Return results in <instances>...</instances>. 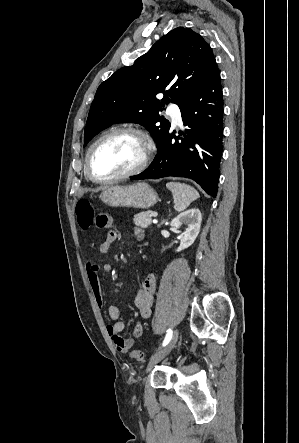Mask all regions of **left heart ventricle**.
<instances>
[{
  "mask_svg": "<svg viewBox=\"0 0 299 443\" xmlns=\"http://www.w3.org/2000/svg\"><path fill=\"white\" fill-rule=\"evenodd\" d=\"M143 155L139 138L132 134H119L100 143L95 149L91 165L98 178H110L136 166Z\"/></svg>",
  "mask_w": 299,
  "mask_h": 443,
  "instance_id": "b2bd125f",
  "label": "left heart ventricle"
}]
</instances>
